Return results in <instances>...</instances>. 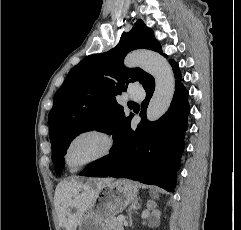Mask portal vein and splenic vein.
Segmentation results:
<instances>
[{"instance_id":"obj_1","label":"portal vein and splenic vein","mask_w":241,"mask_h":230,"mask_svg":"<svg viewBox=\"0 0 241 230\" xmlns=\"http://www.w3.org/2000/svg\"><path fill=\"white\" fill-rule=\"evenodd\" d=\"M117 219H118L120 222L125 221V218H124L123 216H119Z\"/></svg>"}]
</instances>
